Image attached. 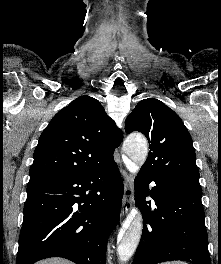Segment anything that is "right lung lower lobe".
Segmentation results:
<instances>
[{"instance_id": "right-lung-lower-lobe-1", "label": "right lung lower lobe", "mask_w": 221, "mask_h": 264, "mask_svg": "<svg viewBox=\"0 0 221 264\" xmlns=\"http://www.w3.org/2000/svg\"><path fill=\"white\" fill-rule=\"evenodd\" d=\"M123 191L114 158L86 173L28 185L17 264L47 257L105 264L107 240L119 220Z\"/></svg>"}]
</instances>
